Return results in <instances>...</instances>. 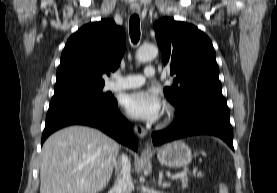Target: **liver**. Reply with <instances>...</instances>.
Masks as SVG:
<instances>
[{"label": "liver", "instance_id": "6515ba94", "mask_svg": "<svg viewBox=\"0 0 277 193\" xmlns=\"http://www.w3.org/2000/svg\"><path fill=\"white\" fill-rule=\"evenodd\" d=\"M119 144L101 131L71 126L43 144L40 193H97L117 163Z\"/></svg>", "mask_w": 277, "mask_h": 193}]
</instances>
